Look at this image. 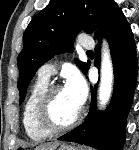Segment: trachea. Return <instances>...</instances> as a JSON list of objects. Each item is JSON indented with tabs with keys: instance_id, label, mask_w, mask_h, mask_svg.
Instances as JSON below:
<instances>
[{
	"instance_id": "trachea-1",
	"label": "trachea",
	"mask_w": 139,
	"mask_h": 150,
	"mask_svg": "<svg viewBox=\"0 0 139 150\" xmlns=\"http://www.w3.org/2000/svg\"><path fill=\"white\" fill-rule=\"evenodd\" d=\"M87 53H93L92 51H87Z\"/></svg>"
}]
</instances>
